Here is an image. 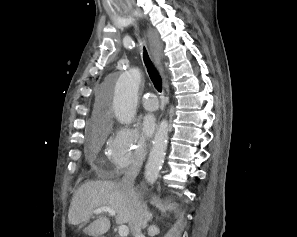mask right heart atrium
<instances>
[{"instance_id":"1","label":"right heart atrium","mask_w":297,"mask_h":237,"mask_svg":"<svg viewBox=\"0 0 297 237\" xmlns=\"http://www.w3.org/2000/svg\"><path fill=\"white\" fill-rule=\"evenodd\" d=\"M103 134L112 130V122L106 121ZM147 145L137 130L119 126L116 127L109 142L108 156L116 171H123L131 166L140 165L146 155Z\"/></svg>"}]
</instances>
